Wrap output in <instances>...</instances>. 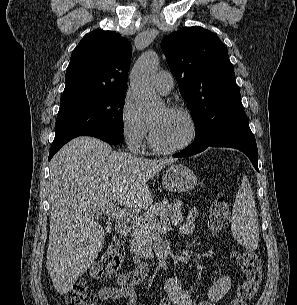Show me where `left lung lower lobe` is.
I'll return each mask as SVG.
<instances>
[{"mask_svg":"<svg viewBox=\"0 0 297 305\" xmlns=\"http://www.w3.org/2000/svg\"><path fill=\"white\" fill-rule=\"evenodd\" d=\"M208 147H229L244 152L258 170V150L256 140L249 127L248 118L240 114L219 126L212 136L202 137L198 142H193L183 152L174 157H188L202 152Z\"/></svg>","mask_w":297,"mask_h":305,"instance_id":"obj_1","label":"left lung lower lobe"}]
</instances>
